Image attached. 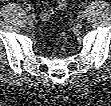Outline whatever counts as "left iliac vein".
<instances>
[{
	"label": "left iliac vein",
	"mask_w": 111,
	"mask_h": 106,
	"mask_svg": "<svg viewBox=\"0 0 111 106\" xmlns=\"http://www.w3.org/2000/svg\"><path fill=\"white\" fill-rule=\"evenodd\" d=\"M85 12H80V14L78 15V19L79 20H83L85 18Z\"/></svg>",
	"instance_id": "4c4485c4"
}]
</instances>
